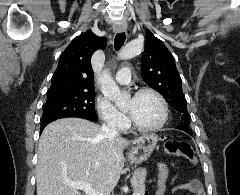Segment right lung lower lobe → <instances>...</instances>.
<instances>
[{"label":"right lung lower lobe","instance_id":"right-lung-lower-lobe-1","mask_svg":"<svg viewBox=\"0 0 240 195\" xmlns=\"http://www.w3.org/2000/svg\"><path fill=\"white\" fill-rule=\"evenodd\" d=\"M75 117L88 119V120L93 121V122H96V121L98 120L97 117L85 116V115H80V116H75ZM51 122H52V121H51ZM49 123H50V122H47V123H44V124L41 125L40 133L42 132V130L44 129V127L47 126Z\"/></svg>","mask_w":240,"mask_h":195}]
</instances>
